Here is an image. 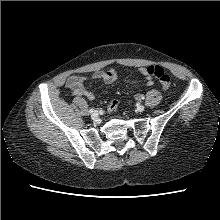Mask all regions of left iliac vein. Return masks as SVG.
Wrapping results in <instances>:
<instances>
[{"label":"left iliac vein","instance_id":"left-iliac-vein-1","mask_svg":"<svg viewBox=\"0 0 220 220\" xmlns=\"http://www.w3.org/2000/svg\"><path fill=\"white\" fill-rule=\"evenodd\" d=\"M144 109H145V107L143 105H141V104L137 105V111L138 112H143Z\"/></svg>","mask_w":220,"mask_h":220}]
</instances>
